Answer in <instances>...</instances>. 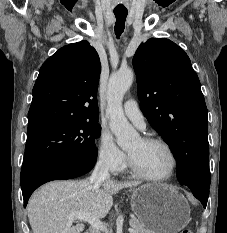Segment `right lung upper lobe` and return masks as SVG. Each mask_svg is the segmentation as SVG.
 I'll use <instances>...</instances> for the list:
<instances>
[{"instance_id":"1","label":"right lung upper lobe","mask_w":227,"mask_h":233,"mask_svg":"<svg viewBox=\"0 0 227 233\" xmlns=\"http://www.w3.org/2000/svg\"><path fill=\"white\" fill-rule=\"evenodd\" d=\"M101 64L87 41L59 49L41 66L28 113V134L80 120L98 121Z\"/></svg>"}]
</instances>
